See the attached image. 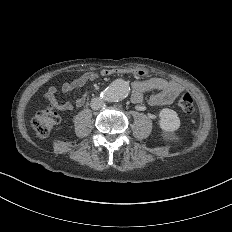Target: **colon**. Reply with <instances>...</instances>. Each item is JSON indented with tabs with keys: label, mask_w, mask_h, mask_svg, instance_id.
Instances as JSON below:
<instances>
[{
	"label": "colon",
	"mask_w": 232,
	"mask_h": 232,
	"mask_svg": "<svg viewBox=\"0 0 232 232\" xmlns=\"http://www.w3.org/2000/svg\"><path fill=\"white\" fill-rule=\"evenodd\" d=\"M178 102L180 103L179 111L182 114H195V102L188 94H177ZM45 101H52V96H45ZM57 121H60V114L55 108H46L45 112H38L28 124L36 130V137H47L49 134V129H55Z\"/></svg>",
	"instance_id": "5ec220e1"
}]
</instances>
